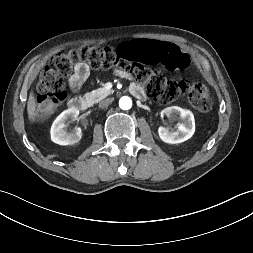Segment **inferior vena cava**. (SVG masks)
<instances>
[{"instance_id": "obj_1", "label": "inferior vena cava", "mask_w": 253, "mask_h": 253, "mask_svg": "<svg viewBox=\"0 0 253 253\" xmlns=\"http://www.w3.org/2000/svg\"><path fill=\"white\" fill-rule=\"evenodd\" d=\"M112 100L111 98H108V99H104L102 101L99 102V107L100 108H105L107 107L110 103H112Z\"/></svg>"}]
</instances>
